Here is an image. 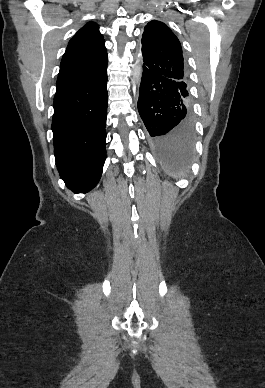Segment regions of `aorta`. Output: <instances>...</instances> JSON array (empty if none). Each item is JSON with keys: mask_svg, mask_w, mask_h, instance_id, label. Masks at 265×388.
<instances>
[{"mask_svg": "<svg viewBox=\"0 0 265 388\" xmlns=\"http://www.w3.org/2000/svg\"><path fill=\"white\" fill-rule=\"evenodd\" d=\"M142 69L139 63H136L133 67V81L138 84L141 78Z\"/></svg>", "mask_w": 265, "mask_h": 388, "instance_id": "762f6f07", "label": "aorta"}]
</instances>
